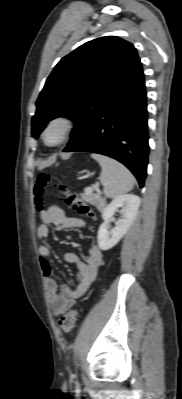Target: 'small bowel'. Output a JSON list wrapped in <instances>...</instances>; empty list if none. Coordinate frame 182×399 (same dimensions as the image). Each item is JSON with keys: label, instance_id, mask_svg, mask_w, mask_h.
<instances>
[{"label": "small bowel", "instance_id": "1", "mask_svg": "<svg viewBox=\"0 0 182 399\" xmlns=\"http://www.w3.org/2000/svg\"><path fill=\"white\" fill-rule=\"evenodd\" d=\"M40 225L37 227L36 236L38 239H47L50 236V226L57 230H68L83 227L85 222L76 217L67 216L64 210L56 204L51 205L39 215ZM40 256V268L44 277V285L47 291V298L55 315L65 313L71 308L76 300L82 296L90 287L96 277L99 266L102 262L100 248L92 244L88 249V256L82 261L73 253H66L64 259L77 266L75 278L76 287L63 284L60 287L53 274V266L50 262L51 249L47 245H40L38 248Z\"/></svg>", "mask_w": 182, "mask_h": 399}]
</instances>
